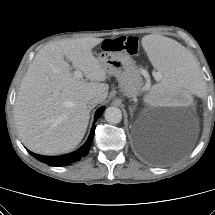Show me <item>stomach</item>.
<instances>
[{"label": "stomach", "mask_w": 215, "mask_h": 215, "mask_svg": "<svg viewBox=\"0 0 215 215\" xmlns=\"http://www.w3.org/2000/svg\"><path fill=\"white\" fill-rule=\"evenodd\" d=\"M98 60L107 74L116 77L122 94L136 97L143 86V77L136 62L126 52L102 51Z\"/></svg>", "instance_id": "1"}]
</instances>
